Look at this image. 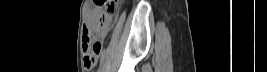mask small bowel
<instances>
[{
    "instance_id": "1",
    "label": "small bowel",
    "mask_w": 267,
    "mask_h": 72,
    "mask_svg": "<svg viewBox=\"0 0 267 72\" xmlns=\"http://www.w3.org/2000/svg\"><path fill=\"white\" fill-rule=\"evenodd\" d=\"M88 32H90V27H87L86 29H85V36H86V34L88 33ZM105 32H103V34H104ZM84 36V37H85ZM83 47H84V42H83ZM101 49H102V45H101ZM101 49H100V52H101ZM100 52H99V54H100ZM99 54H98V56H97V60H98V57H99ZM85 58V55L83 54V59ZM85 67H86V69L89 71V70H91L92 68H93V66H91V65H87V64H85Z\"/></svg>"
}]
</instances>
